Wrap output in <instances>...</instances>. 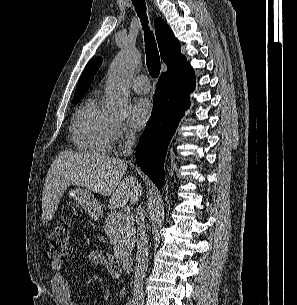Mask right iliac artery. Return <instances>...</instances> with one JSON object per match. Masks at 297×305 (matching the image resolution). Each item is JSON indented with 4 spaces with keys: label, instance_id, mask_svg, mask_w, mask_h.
<instances>
[{
    "label": "right iliac artery",
    "instance_id": "82829eb1",
    "mask_svg": "<svg viewBox=\"0 0 297 305\" xmlns=\"http://www.w3.org/2000/svg\"><path fill=\"white\" fill-rule=\"evenodd\" d=\"M126 305H133V303H132L131 300H129V301L126 303Z\"/></svg>",
    "mask_w": 297,
    "mask_h": 305
}]
</instances>
